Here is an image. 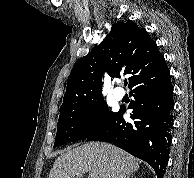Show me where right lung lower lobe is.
<instances>
[{
    "instance_id": "98d812e1",
    "label": "right lung lower lobe",
    "mask_w": 194,
    "mask_h": 178,
    "mask_svg": "<svg viewBox=\"0 0 194 178\" xmlns=\"http://www.w3.org/2000/svg\"><path fill=\"white\" fill-rule=\"evenodd\" d=\"M173 86L169 69L158 78L131 90L135 101L127 123L123 119L126 107L113 113L87 139L112 142L128 153L146 161L163 178L169 159L171 128L173 125Z\"/></svg>"
}]
</instances>
